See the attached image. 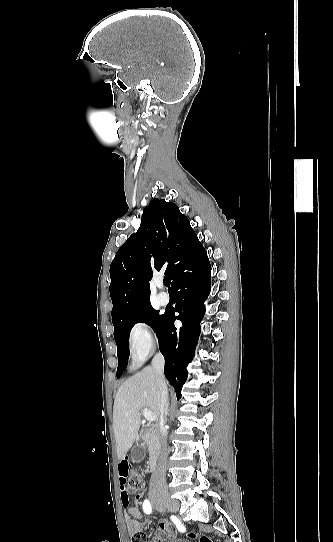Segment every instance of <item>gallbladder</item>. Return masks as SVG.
Instances as JSON below:
<instances>
[{"label": "gallbladder", "instance_id": "bac80fb5", "mask_svg": "<svg viewBox=\"0 0 333 542\" xmlns=\"http://www.w3.org/2000/svg\"><path fill=\"white\" fill-rule=\"evenodd\" d=\"M131 460L132 462H142L146 456V446H143L141 442H137L131 450Z\"/></svg>", "mask_w": 333, "mask_h": 542}]
</instances>
